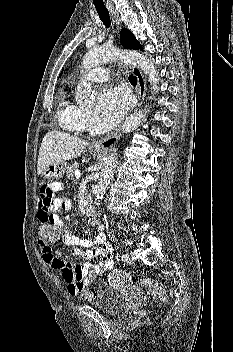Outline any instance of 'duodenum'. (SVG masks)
<instances>
[{
	"label": "duodenum",
	"instance_id": "1",
	"mask_svg": "<svg viewBox=\"0 0 233 352\" xmlns=\"http://www.w3.org/2000/svg\"><path fill=\"white\" fill-rule=\"evenodd\" d=\"M86 215L89 220H93L95 217V210L92 205L88 206L86 209Z\"/></svg>",
	"mask_w": 233,
	"mask_h": 352
}]
</instances>
